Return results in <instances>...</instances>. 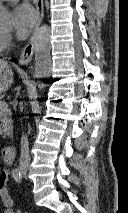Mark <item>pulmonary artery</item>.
I'll return each instance as SVG.
<instances>
[{"label":"pulmonary artery","instance_id":"obj_1","mask_svg":"<svg viewBox=\"0 0 128 213\" xmlns=\"http://www.w3.org/2000/svg\"><path fill=\"white\" fill-rule=\"evenodd\" d=\"M2 1H17V0H2Z\"/></svg>","mask_w":128,"mask_h":213}]
</instances>
